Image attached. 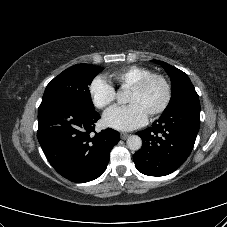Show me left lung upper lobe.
<instances>
[{
    "instance_id": "1",
    "label": "left lung upper lobe",
    "mask_w": 227,
    "mask_h": 227,
    "mask_svg": "<svg viewBox=\"0 0 227 227\" xmlns=\"http://www.w3.org/2000/svg\"><path fill=\"white\" fill-rule=\"evenodd\" d=\"M154 62L164 67L172 83L171 100L163 113L169 112L184 101L199 100L193 84L183 71L162 61L154 60Z\"/></svg>"
}]
</instances>
